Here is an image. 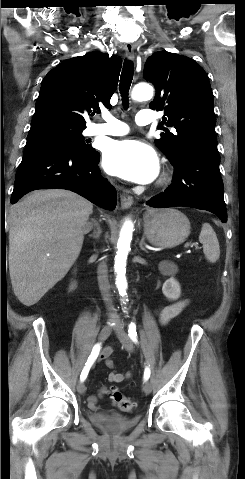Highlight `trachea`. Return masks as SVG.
Masks as SVG:
<instances>
[{"instance_id": "1", "label": "trachea", "mask_w": 245, "mask_h": 479, "mask_svg": "<svg viewBox=\"0 0 245 479\" xmlns=\"http://www.w3.org/2000/svg\"><path fill=\"white\" fill-rule=\"evenodd\" d=\"M133 64L131 61L127 60L124 63L121 78H120V94L122 97L123 105L125 108L128 107V93L133 79Z\"/></svg>"}]
</instances>
